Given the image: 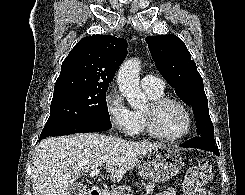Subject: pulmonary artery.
I'll list each match as a JSON object with an SVG mask.
<instances>
[{
    "instance_id": "pulmonary-artery-1",
    "label": "pulmonary artery",
    "mask_w": 245,
    "mask_h": 195,
    "mask_svg": "<svg viewBox=\"0 0 245 195\" xmlns=\"http://www.w3.org/2000/svg\"><path fill=\"white\" fill-rule=\"evenodd\" d=\"M141 87L145 91L160 92L164 90V81L154 75H146L141 79Z\"/></svg>"
}]
</instances>
